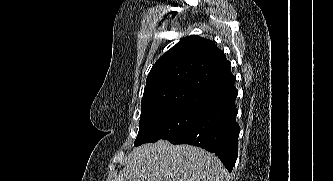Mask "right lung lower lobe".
Masks as SVG:
<instances>
[{
	"label": "right lung lower lobe",
	"mask_w": 333,
	"mask_h": 181,
	"mask_svg": "<svg viewBox=\"0 0 333 181\" xmlns=\"http://www.w3.org/2000/svg\"><path fill=\"white\" fill-rule=\"evenodd\" d=\"M235 99L236 96L206 108L189 129L168 141L198 146L215 153L231 172L238 156L240 132Z\"/></svg>",
	"instance_id": "1"
}]
</instances>
